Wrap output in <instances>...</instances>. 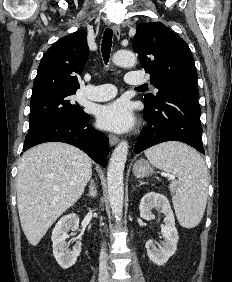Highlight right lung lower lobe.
<instances>
[{
  "label": "right lung lower lobe",
  "mask_w": 232,
  "mask_h": 282,
  "mask_svg": "<svg viewBox=\"0 0 232 282\" xmlns=\"http://www.w3.org/2000/svg\"><path fill=\"white\" fill-rule=\"evenodd\" d=\"M88 122L87 114L83 118H60L40 128L29 130L23 151L44 142H64L83 150L95 162L105 167L109 153L108 138Z\"/></svg>",
  "instance_id": "obj_1"
}]
</instances>
